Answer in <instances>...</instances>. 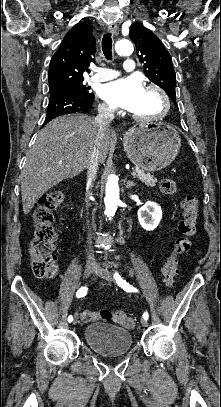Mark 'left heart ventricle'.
<instances>
[{"instance_id": "left-heart-ventricle-1", "label": "left heart ventricle", "mask_w": 221, "mask_h": 407, "mask_svg": "<svg viewBox=\"0 0 221 407\" xmlns=\"http://www.w3.org/2000/svg\"><path fill=\"white\" fill-rule=\"evenodd\" d=\"M162 109L159 95L155 91L144 90L132 113L139 116H154Z\"/></svg>"}]
</instances>
